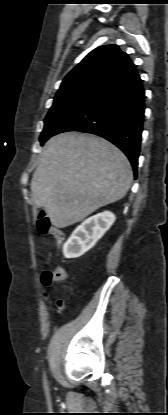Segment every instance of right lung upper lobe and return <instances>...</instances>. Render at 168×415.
Masks as SVG:
<instances>
[{"mask_svg":"<svg viewBox=\"0 0 168 415\" xmlns=\"http://www.w3.org/2000/svg\"><path fill=\"white\" fill-rule=\"evenodd\" d=\"M134 69V63L117 45L97 47L67 74L56 97L85 90L102 92Z\"/></svg>","mask_w":168,"mask_h":415,"instance_id":"obj_1","label":"right lung upper lobe"}]
</instances>
